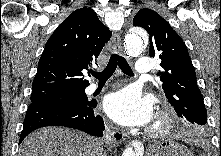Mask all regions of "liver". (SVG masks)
I'll use <instances>...</instances> for the list:
<instances>
[{
    "label": "liver",
    "instance_id": "1",
    "mask_svg": "<svg viewBox=\"0 0 221 156\" xmlns=\"http://www.w3.org/2000/svg\"><path fill=\"white\" fill-rule=\"evenodd\" d=\"M99 141L85 133L62 127H45L21 143L19 156H101Z\"/></svg>",
    "mask_w": 221,
    "mask_h": 156
}]
</instances>
